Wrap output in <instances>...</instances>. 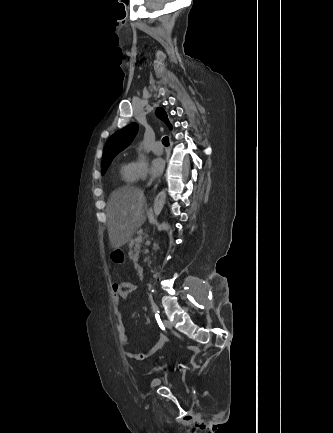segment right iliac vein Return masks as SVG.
<instances>
[{
  "label": "right iliac vein",
  "mask_w": 333,
  "mask_h": 433,
  "mask_svg": "<svg viewBox=\"0 0 333 433\" xmlns=\"http://www.w3.org/2000/svg\"><path fill=\"white\" fill-rule=\"evenodd\" d=\"M160 384V379L156 378L152 381L151 383V388L154 389L156 386H158Z\"/></svg>",
  "instance_id": "right-iliac-vein-1"
}]
</instances>
